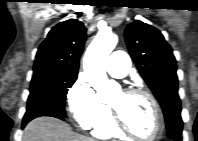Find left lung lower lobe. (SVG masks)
<instances>
[{"instance_id": "obj_1", "label": "left lung lower lobe", "mask_w": 198, "mask_h": 141, "mask_svg": "<svg viewBox=\"0 0 198 141\" xmlns=\"http://www.w3.org/2000/svg\"><path fill=\"white\" fill-rule=\"evenodd\" d=\"M181 134H182V131H179V130H173V132H171V131L167 132L168 137L175 141L182 140Z\"/></svg>"}]
</instances>
